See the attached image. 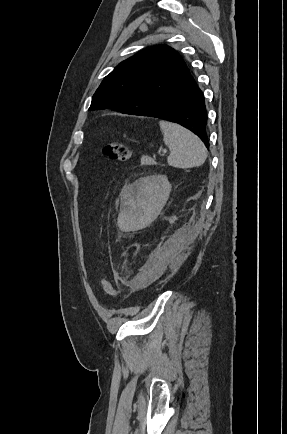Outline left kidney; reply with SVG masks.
<instances>
[{"label": "left kidney", "instance_id": "left-kidney-1", "mask_svg": "<svg viewBox=\"0 0 287 434\" xmlns=\"http://www.w3.org/2000/svg\"><path fill=\"white\" fill-rule=\"evenodd\" d=\"M171 184L165 175H153L136 180L124 192V205L132 219L151 222L169 198Z\"/></svg>", "mask_w": 287, "mask_h": 434}]
</instances>
